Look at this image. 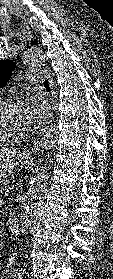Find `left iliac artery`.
<instances>
[{
	"label": "left iliac artery",
	"instance_id": "44dca946",
	"mask_svg": "<svg viewBox=\"0 0 113 279\" xmlns=\"http://www.w3.org/2000/svg\"><path fill=\"white\" fill-rule=\"evenodd\" d=\"M15 277H18V279H21V273H20V272L17 273V274L15 275Z\"/></svg>",
	"mask_w": 113,
	"mask_h": 279
}]
</instances>
